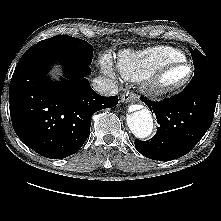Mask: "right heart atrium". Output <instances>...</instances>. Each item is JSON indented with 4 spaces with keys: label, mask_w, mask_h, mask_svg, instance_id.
Instances as JSON below:
<instances>
[{
    "label": "right heart atrium",
    "mask_w": 221,
    "mask_h": 221,
    "mask_svg": "<svg viewBox=\"0 0 221 221\" xmlns=\"http://www.w3.org/2000/svg\"><path fill=\"white\" fill-rule=\"evenodd\" d=\"M100 68L103 73L114 76V68L111 62V59L108 55H105L100 60Z\"/></svg>",
    "instance_id": "d8ad5b80"
}]
</instances>
